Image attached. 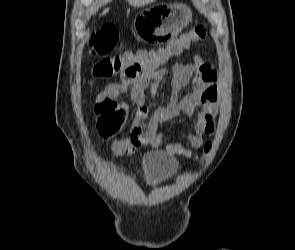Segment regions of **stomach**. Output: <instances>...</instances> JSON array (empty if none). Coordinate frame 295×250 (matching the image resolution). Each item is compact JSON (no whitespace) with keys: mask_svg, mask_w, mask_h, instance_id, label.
I'll return each mask as SVG.
<instances>
[{"mask_svg":"<svg viewBox=\"0 0 295 250\" xmlns=\"http://www.w3.org/2000/svg\"><path fill=\"white\" fill-rule=\"evenodd\" d=\"M192 20V10L185 4H158L142 10L136 19V32L147 45H164L177 36Z\"/></svg>","mask_w":295,"mask_h":250,"instance_id":"1","label":"stomach"}]
</instances>
